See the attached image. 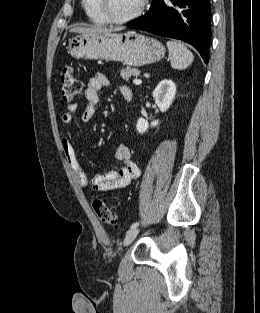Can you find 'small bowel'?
Masks as SVG:
<instances>
[{"instance_id":"1","label":"small bowel","mask_w":260,"mask_h":313,"mask_svg":"<svg viewBox=\"0 0 260 313\" xmlns=\"http://www.w3.org/2000/svg\"><path fill=\"white\" fill-rule=\"evenodd\" d=\"M108 85L109 79L103 73H97L89 80L85 90L87 105L81 114V120L84 123H88L94 118L100 100L99 93ZM119 92L125 102L132 100V91L128 86H121ZM76 110L77 105L74 103L67 106V110L62 116L64 124L72 123ZM62 148L75 179L85 190L97 192L113 191L128 186L140 175L139 167L133 160L130 148L127 145L120 144L115 150V158L122 163L120 169L94 174L90 177L79 164L75 148L68 138L62 139Z\"/></svg>"}]
</instances>
